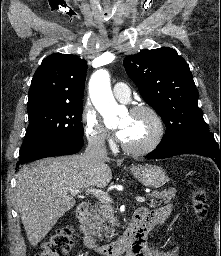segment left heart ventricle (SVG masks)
<instances>
[{
	"instance_id": "obj_1",
	"label": "left heart ventricle",
	"mask_w": 221,
	"mask_h": 256,
	"mask_svg": "<svg viewBox=\"0 0 221 256\" xmlns=\"http://www.w3.org/2000/svg\"><path fill=\"white\" fill-rule=\"evenodd\" d=\"M120 128H127L125 143L138 146L146 143L154 134V123L147 114H127L119 123Z\"/></svg>"
}]
</instances>
